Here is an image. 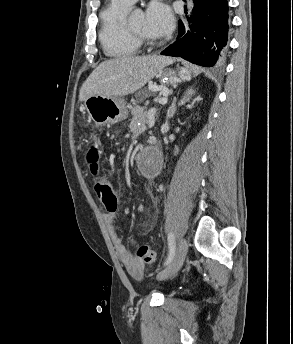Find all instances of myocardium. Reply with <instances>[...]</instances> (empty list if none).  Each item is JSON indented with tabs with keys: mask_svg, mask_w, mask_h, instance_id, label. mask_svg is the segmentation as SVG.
I'll return each instance as SVG.
<instances>
[{
	"mask_svg": "<svg viewBox=\"0 0 293 344\" xmlns=\"http://www.w3.org/2000/svg\"><path fill=\"white\" fill-rule=\"evenodd\" d=\"M126 33L134 39L139 45H152L154 42L149 39L148 37L134 32L132 29L129 28L127 24H125Z\"/></svg>",
	"mask_w": 293,
	"mask_h": 344,
	"instance_id": "myocardium-1",
	"label": "myocardium"
}]
</instances>
